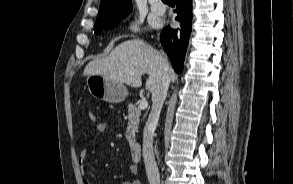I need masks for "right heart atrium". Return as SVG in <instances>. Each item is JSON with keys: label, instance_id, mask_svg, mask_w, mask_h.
<instances>
[{"label": "right heart atrium", "instance_id": "right-heart-atrium-1", "mask_svg": "<svg viewBox=\"0 0 293 184\" xmlns=\"http://www.w3.org/2000/svg\"><path fill=\"white\" fill-rule=\"evenodd\" d=\"M141 24L139 21L131 19L128 20L124 25V31L126 34L133 35L140 31Z\"/></svg>", "mask_w": 293, "mask_h": 184}]
</instances>
